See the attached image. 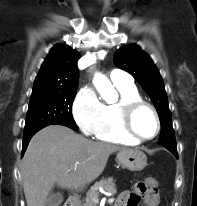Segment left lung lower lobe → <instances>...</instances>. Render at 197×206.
<instances>
[{
	"mask_svg": "<svg viewBox=\"0 0 197 206\" xmlns=\"http://www.w3.org/2000/svg\"><path fill=\"white\" fill-rule=\"evenodd\" d=\"M164 147L167 148L169 151H171L178 158L176 146H164Z\"/></svg>",
	"mask_w": 197,
	"mask_h": 206,
	"instance_id": "1",
	"label": "left lung lower lobe"
}]
</instances>
